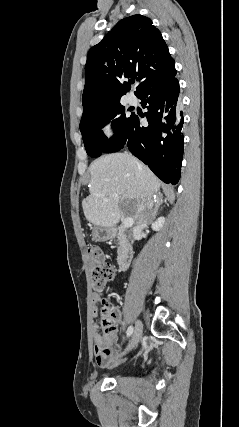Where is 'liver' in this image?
Instances as JSON below:
<instances>
[{"instance_id": "1", "label": "liver", "mask_w": 239, "mask_h": 427, "mask_svg": "<svg viewBox=\"0 0 239 427\" xmlns=\"http://www.w3.org/2000/svg\"><path fill=\"white\" fill-rule=\"evenodd\" d=\"M89 173L90 195L82 201V207L86 219L95 226L112 228L124 216L140 221L160 189L153 172L128 153L99 157L90 164ZM123 200L135 201L130 213L122 209Z\"/></svg>"}]
</instances>
